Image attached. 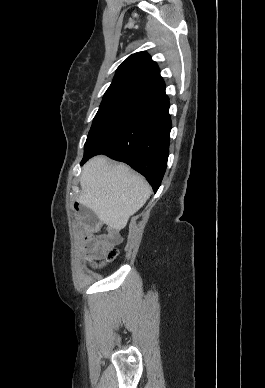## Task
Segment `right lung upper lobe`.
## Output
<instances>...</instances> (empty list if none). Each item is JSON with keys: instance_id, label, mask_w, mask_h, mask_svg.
<instances>
[{"instance_id": "right-lung-upper-lobe-1", "label": "right lung upper lobe", "mask_w": 265, "mask_h": 388, "mask_svg": "<svg viewBox=\"0 0 265 388\" xmlns=\"http://www.w3.org/2000/svg\"><path fill=\"white\" fill-rule=\"evenodd\" d=\"M106 93L129 94L150 101L165 93V83L156 62L146 52H137L118 67Z\"/></svg>"}]
</instances>
